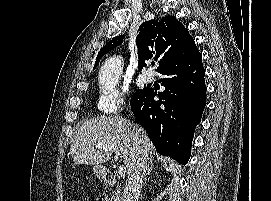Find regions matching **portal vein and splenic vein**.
I'll return each mask as SVG.
<instances>
[{
  "mask_svg": "<svg viewBox=\"0 0 271 201\" xmlns=\"http://www.w3.org/2000/svg\"><path fill=\"white\" fill-rule=\"evenodd\" d=\"M103 145L101 143L97 144V148H102ZM111 151H113L117 157L121 156L119 149L116 146L108 147ZM118 173L120 176H124L126 173V167L124 165H120L118 167Z\"/></svg>",
  "mask_w": 271,
  "mask_h": 201,
  "instance_id": "18ae733b",
  "label": "portal vein and splenic vein"
}]
</instances>
